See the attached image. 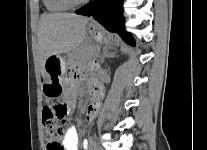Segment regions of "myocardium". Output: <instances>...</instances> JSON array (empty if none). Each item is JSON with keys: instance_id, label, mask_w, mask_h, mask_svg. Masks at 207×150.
<instances>
[{"instance_id": "f54148a6", "label": "myocardium", "mask_w": 207, "mask_h": 150, "mask_svg": "<svg viewBox=\"0 0 207 150\" xmlns=\"http://www.w3.org/2000/svg\"><path fill=\"white\" fill-rule=\"evenodd\" d=\"M70 7H77L84 5L89 0H64Z\"/></svg>"}]
</instances>
